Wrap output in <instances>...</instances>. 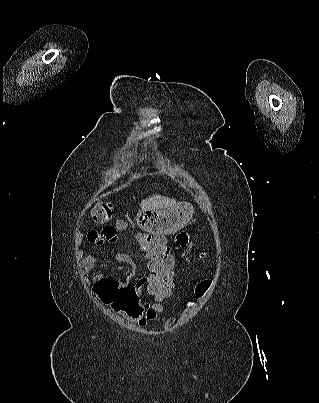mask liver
I'll list each match as a JSON object with an SVG mask.
<instances>
[{
    "instance_id": "obj_1",
    "label": "liver",
    "mask_w": 319,
    "mask_h": 403,
    "mask_svg": "<svg viewBox=\"0 0 319 403\" xmlns=\"http://www.w3.org/2000/svg\"><path fill=\"white\" fill-rule=\"evenodd\" d=\"M176 205L175 199L166 198L161 195H153L152 197L142 200L140 206L143 210H162L168 209Z\"/></svg>"
}]
</instances>
